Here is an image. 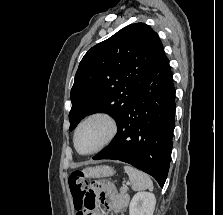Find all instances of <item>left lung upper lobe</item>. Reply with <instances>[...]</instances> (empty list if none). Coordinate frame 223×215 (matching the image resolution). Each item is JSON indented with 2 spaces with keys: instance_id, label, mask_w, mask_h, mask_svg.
<instances>
[{
  "instance_id": "1",
  "label": "left lung upper lobe",
  "mask_w": 223,
  "mask_h": 215,
  "mask_svg": "<svg viewBox=\"0 0 223 215\" xmlns=\"http://www.w3.org/2000/svg\"><path fill=\"white\" fill-rule=\"evenodd\" d=\"M165 59L157 33L144 23L128 25L92 47L71 89L70 130L85 116L101 111L119 125L137 92Z\"/></svg>"
}]
</instances>
